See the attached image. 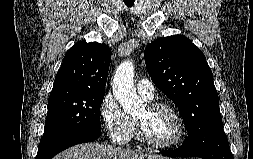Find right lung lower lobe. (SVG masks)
Masks as SVG:
<instances>
[{
  "label": "right lung lower lobe",
  "mask_w": 253,
  "mask_h": 159,
  "mask_svg": "<svg viewBox=\"0 0 253 159\" xmlns=\"http://www.w3.org/2000/svg\"><path fill=\"white\" fill-rule=\"evenodd\" d=\"M101 135V131H83L66 136L52 144L43 152L37 153L36 159H51L59 152L80 143L91 142Z\"/></svg>",
  "instance_id": "obj_1"
}]
</instances>
